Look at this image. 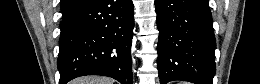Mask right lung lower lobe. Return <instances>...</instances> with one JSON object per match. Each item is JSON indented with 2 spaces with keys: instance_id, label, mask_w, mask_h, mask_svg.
<instances>
[{
  "instance_id": "obj_1",
  "label": "right lung lower lobe",
  "mask_w": 260,
  "mask_h": 84,
  "mask_svg": "<svg viewBox=\"0 0 260 84\" xmlns=\"http://www.w3.org/2000/svg\"><path fill=\"white\" fill-rule=\"evenodd\" d=\"M132 0H88L62 18L60 84L83 75H103L133 84Z\"/></svg>"
}]
</instances>
